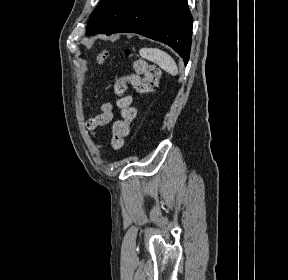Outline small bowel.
<instances>
[{
  "mask_svg": "<svg viewBox=\"0 0 288 280\" xmlns=\"http://www.w3.org/2000/svg\"><path fill=\"white\" fill-rule=\"evenodd\" d=\"M101 112L87 122V128L94 132L97 127L109 124L113 120V106L110 102L101 105Z\"/></svg>",
  "mask_w": 288,
  "mask_h": 280,
  "instance_id": "c3829d8e",
  "label": "small bowel"
}]
</instances>
